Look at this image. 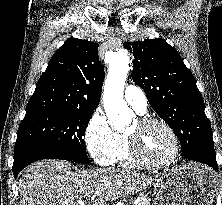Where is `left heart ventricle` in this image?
Here are the masks:
<instances>
[{
    "label": "left heart ventricle",
    "mask_w": 222,
    "mask_h": 205,
    "mask_svg": "<svg viewBox=\"0 0 222 205\" xmlns=\"http://www.w3.org/2000/svg\"><path fill=\"white\" fill-rule=\"evenodd\" d=\"M138 130L137 122L128 133ZM141 147L145 156L156 162L168 160L174 152V143L170 134L160 125H151L140 133Z\"/></svg>",
    "instance_id": "obj_1"
}]
</instances>
